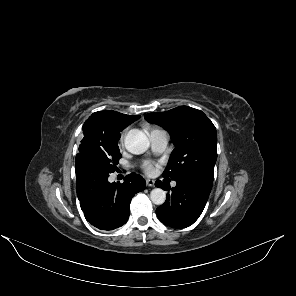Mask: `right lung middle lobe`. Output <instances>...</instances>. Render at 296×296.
<instances>
[{"label":"right lung middle lobe","instance_id":"right-lung-middle-lobe-1","mask_svg":"<svg viewBox=\"0 0 296 296\" xmlns=\"http://www.w3.org/2000/svg\"><path fill=\"white\" fill-rule=\"evenodd\" d=\"M120 132H112L108 135H85L79 146V153L96 158L106 171L114 172L121 153L118 148Z\"/></svg>","mask_w":296,"mask_h":296}]
</instances>
